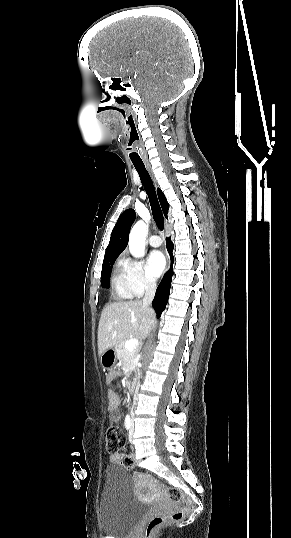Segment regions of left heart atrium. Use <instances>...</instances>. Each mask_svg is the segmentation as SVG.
<instances>
[{"label":"left heart atrium","mask_w":291,"mask_h":538,"mask_svg":"<svg viewBox=\"0 0 291 538\" xmlns=\"http://www.w3.org/2000/svg\"><path fill=\"white\" fill-rule=\"evenodd\" d=\"M166 265L165 257L160 251H153L149 254L146 263L147 274L151 279L158 278Z\"/></svg>","instance_id":"39dd6f15"}]
</instances>
